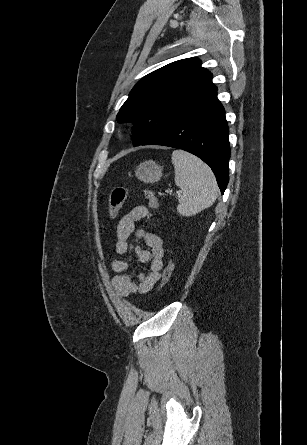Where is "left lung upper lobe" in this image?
<instances>
[{
  "mask_svg": "<svg viewBox=\"0 0 307 445\" xmlns=\"http://www.w3.org/2000/svg\"><path fill=\"white\" fill-rule=\"evenodd\" d=\"M212 74L197 58L172 62L143 77L122 105L117 121L135 124V146L214 93Z\"/></svg>",
  "mask_w": 307,
  "mask_h": 445,
  "instance_id": "left-lung-upper-lobe-1",
  "label": "left lung upper lobe"
}]
</instances>
